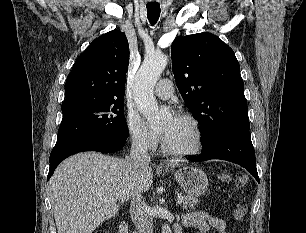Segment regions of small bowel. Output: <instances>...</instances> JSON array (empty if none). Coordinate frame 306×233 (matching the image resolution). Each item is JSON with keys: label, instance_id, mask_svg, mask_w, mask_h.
Here are the masks:
<instances>
[{"label": "small bowel", "instance_id": "obj_1", "mask_svg": "<svg viewBox=\"0 0 306 233\" xmlns=\"http://www.w3.org/2000/svg\"><path fill=\"white\" fill-rule=\"evenodd\" d=\"M182 223L187 227H198L202 233H229L225 220L213 217L206 212L184 214Z\"/></svg>", "mask_w": 306, "mask_h": 233}]
</instances>
